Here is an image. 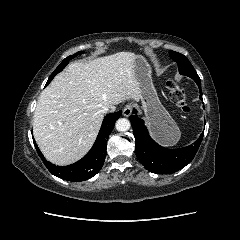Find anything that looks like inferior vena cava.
I'll return each mask as SVG.
<instances>
[{
    "label": "inferior vena cava",
    "instance_id": "1",
    "mask_svg": "<svg viewBox=\"0 0 240 240\" xmlns=\"http://www.w3.org/2000/svg\"><path fill=\"white\" fill-rule=\"evenodd\" d=\"M113 111H115V107H114V106H107V107H104V108L102 109V112H103V113L113 112Z\"/></svg>",
    "mask_w": 240,
    "mask_h": 240
}]
</instances>
